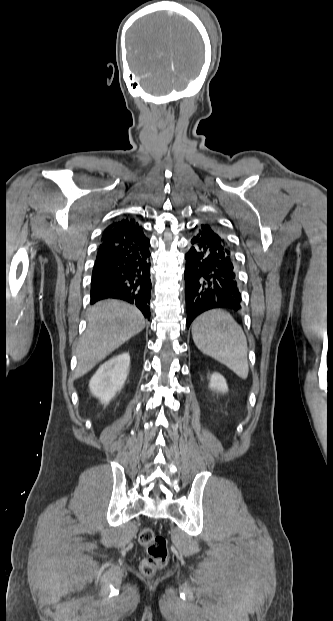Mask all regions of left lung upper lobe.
<instances>
[{
    "instance_id": "1",
    "label": "left lung upper lobe",
    "mask_w": 333,
    "mask_h": 621,
    "mask_svg": "<svg viewBox=\"0 0 333 621\" xmlns=\"http://www.w3.org/2000/svg\"><path fill=\"white\" fill-rule=\"evenodd\" d=\"M207 226H209V225H207ZM209 227H210V226H209ZM210 228H212V229H213V230H214V231H215V232L219 235V237L222 239L223 243H224L227 247L231 248V245H230V243H229V241H228V239H227L226 235H224V233H222V232L218 231V230L216 229V227H215V226H211ZM231 249H232V248H231Z\"/></svg>"
}]
</instances>
